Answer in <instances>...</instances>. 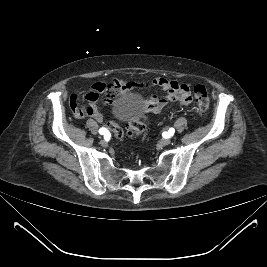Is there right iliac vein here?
I'll return each instance as SVG.
<instances>
[{"label": "right iliac vein", "instance_id": "1", "mask_svg": "<svg viewBox=\"0 0 267 267\" xmlns=\"http://www.w3.org/2000/svg\"><path fill=\"white\" fill-rule=\"evenodd\" d=\"M100 144H101V146H103V147H106V146L108 145L107 141L104 140V139L100 140Z\"/></svg>", "mask_w": 267, "mask_h": 267}]
</instances>
